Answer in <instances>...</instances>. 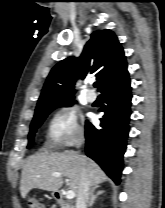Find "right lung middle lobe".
<instances>
[{
	"instance_id": "obj_1",
	"label": "right lung middle lobe",
	"mask_w": 165,
	"mask_h": 208,
	"mask_svg": "<svg viewBox=\"0 0 165 208\" xmlns=\"http://www.w3.org/2000/svg\"><path fill=\"white\" fill-rule=\"evenodd\" d=\"M73 103H75V101L57 103V104L50 105V106L36 112L34 115V118L32 120L31 126H30V133L28 136V146L27 147L30 148L33 145V139H34V135H35L37 128L40 127V125L43 123V121L45 120L47 115L53 109H55L56 107H60V106H64V107L72 106Z\"/></svg>"
}]
</instances>
